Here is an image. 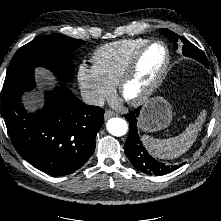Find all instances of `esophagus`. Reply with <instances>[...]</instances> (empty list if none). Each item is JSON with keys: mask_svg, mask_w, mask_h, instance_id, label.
<instances>
[{"mask_svg": "<svg viewBox=\"0 0 221 221\" xmlns=\"http://www.w3.org/2000/svg\"><path fill=\"white\" fill-rule=\"evenodd\" d=\"M113 116H115V113L112 112V111H106V112L104 113V118H105L106 120L109 119V118H111V117H113Z\"/></svg>", "mask_w": 221, "mask_h": 221, "instance_id": "obj_1", "label": "esophagus"}]
</instances>
